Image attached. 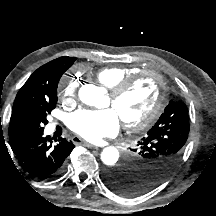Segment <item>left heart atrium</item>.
Returning a JSON list of instances; mask_svg holds the SVG:
<instances>
[{
	"instance_id": "left-heart-atrium-1",
	"label": "left heart atrium",
	"mask_w": 216,
	"mask_h": 216,
	"mask_svg": "<svg viewBox=\"0 0 216 216\" xmlns=\"http://www.w3.org/2000/svg\"><path fill=\"white\" fill-rule=\"evenodd\" d=\"M69 128L88 141H99L115 135L120 128V117L112 108L78 110L68 119Z\"/></svg>"
}]
</instances>
